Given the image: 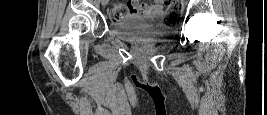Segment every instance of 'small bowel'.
I'll return each instance as SVG.
<instances>
[{
  "instance_id": "c3829d8e",
  "label": "small bowel",
  "mask_w": 267,
  "mask_h": 115,
  "mask_svg": "<svg viewBox=\"0 0 267 115\" xmlns=\"http://www.w3.org/2000/svg\"><path fill=\"white\" fill-rule=\"evenodd\" d=\"M132 14H161L163 10V1L155 0L153 3L132 2Z\"/></svg>"
}]
</instances>
